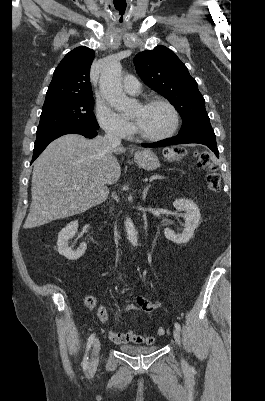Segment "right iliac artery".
Listing matches in <instances>:
<instances>
[{"mask_svg":"<svg viewBox=\"0 0 265 401\" xmlns=\"http://www.w3.org/2000/svg\"><path fill=\"white\" fill-rule=\"evenodd\" d=\"M94 340H95V334L93 333L88 338L85 356H84L83 361H82V368H83L84 371H86L87 368H88V353H89V350H90Z\"/></svg>","mask_w":265,"mask_h":401,"instance_id":"right-iliac-artery-1","label":"right iliac artery"}]
</instances>
